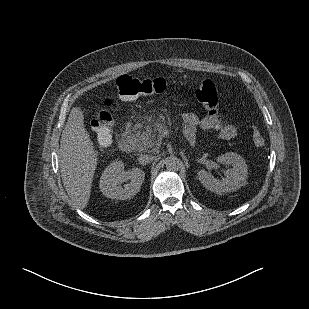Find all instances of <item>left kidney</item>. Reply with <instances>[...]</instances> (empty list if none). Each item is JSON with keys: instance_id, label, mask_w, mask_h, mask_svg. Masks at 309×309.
Masks as SVG:
<instances>
[{"instance_id": "5707ae66", "label": "left kidney", "mask_w": 309, "mask_h": 309, "mask_svg": "<svg viewBox=\"0 0 309 309\" xmlns=\"http://www.w3.org/2000/svg\"><path fill=\"white\" fill-rule=\"evenodd\" d=\"M217 161L230 164L232 168L225 170V178L223 180L209 175L204 169L198 171L197 177L207 190L220 195L236 191L246 183L248 166L242 156L234 152H227L219 155Z\"/></svg>"}]
</instances>
